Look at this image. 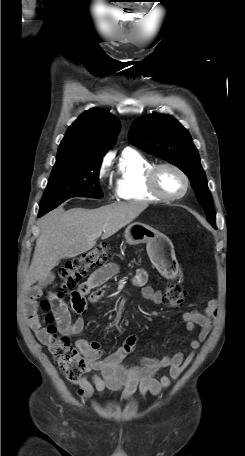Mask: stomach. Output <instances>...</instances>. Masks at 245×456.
I'll list each match as a JSON object with an SVG mask.
<instances>
[{
  "instance_id": "1",
  "label": "stomach",
  "mask_w": 245,
  "mask_h": 456,
  "mask_svg": "<svg viewBox=\"0 0 245 456\" xmlns=\"http://www.w3.org/2000/svg\"><path fill=\"white\" fill-rule=\"evenodd\" d=\"M129 245L146 243L148 255L153 265L166 278H174L178 274V266L171 241L156 229L140 223L130 224L124 233Z\"/></svg>"
}]
</instances>
